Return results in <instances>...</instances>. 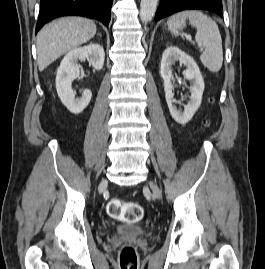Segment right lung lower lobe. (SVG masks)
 <instances>
[{"mask_svg":"<svg viewBox=\"0 0 265 269\" xmlns=\"http://www.w3.org/2000/svg\"><path fill=\"white\" fill-rule=\"evenodd\" d=\"M112 3L113 0H41L36 33L52 19L69 15L97 19L108 26Z\"/></svg>","mask_w":265,"mask_h":269,"instance_id":"98d812e1","label":"right lung lower lobe"}]
</instances>
